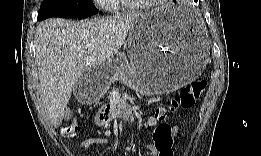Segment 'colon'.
Listing matches in <instances>:
<instances>
[{
    "label": "colon",
    "mask_w": 261,
    "mask_h": 156,
    "mask_svg": "<svg viewBox=\"0 0 261 156\" xmlns=\"http://www.w3.org/2000/svg\"><path fill=\"white\" fill-rule=\"evenodd\" d=\"M206 87V81L199 79L195 80L184 87L179 96L171 99L167 107H159L155 110L150 118V123H160L153 134L154 142L162 155L171 154V129L165 124L169 112L179 109L188 110L194 106L195 100L203 93ZM108 120V109L103 110L98 116V130H102V125ZM81 129L75 124L68 125L63 130L65 138H75L80 135Z\"/></svg>",
    "instance_id": "1"
}]
</instances>
